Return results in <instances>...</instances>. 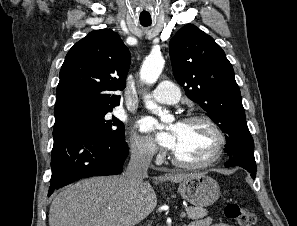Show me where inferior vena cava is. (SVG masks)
<instances>
[{
    "label": "inferior vena cava",
    "instance_id": "inferior-vena-cava-1",
    "mask_svg": "<svg viewBox=\"0 0 297 226\" xmlns=\"http://www.w3.org/2000/svg\"><path fill=\"white\" fill-rule=\"evenodd\" d=\"M153 154V149L146 145H137L132 149L130 162L123 173L125 184L129 188L133 189L143 184Z\"/></svg>",
    "mask_w": 297,
    "mask_h": 226
}]
</instances>
